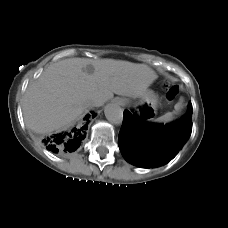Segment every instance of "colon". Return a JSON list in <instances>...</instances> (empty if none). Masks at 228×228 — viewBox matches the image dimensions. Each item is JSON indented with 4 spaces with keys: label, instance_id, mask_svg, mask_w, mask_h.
Segmentation results:
<instances>
[{
    "label": "colon",
    "instance_id": "5ec220e1",
    "mask_svg": "<svg viewBox=\"0 0 228 228\" xmlns=\"http://www.w3.org/2000/svg\"><path fill=\"white\" fill-rule=\"evenodd\" d=\"M179 94V88L177 85H172L167 89L166 97L169 101L174 100Z\"/></svg>",
    "mask_w": 228,
    "mask_h": 228
}]
</instances>
